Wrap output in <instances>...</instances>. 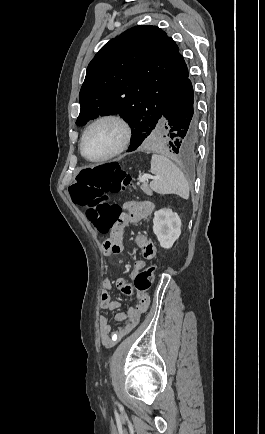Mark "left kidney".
Returning a JSON list of instances; mask_svg holds the SVG:
<instances>
[{
    "label": "left kidney",
    "mask_w": 265,
    "mask_h": 434,
    "mask_svg": "<svg viewBox=\"0 0 265 434\" xmlns=\"http://www.w3.org/2000/svg\"><path fill=\"white\" fill-rule=\"evenodd\" d=\"M153 224V232L161 248H172L181 234V220L178 214L169 208H162L154 212Z\"/></svg>",
    "instance_id": "obj_1"
}]
</instances>
